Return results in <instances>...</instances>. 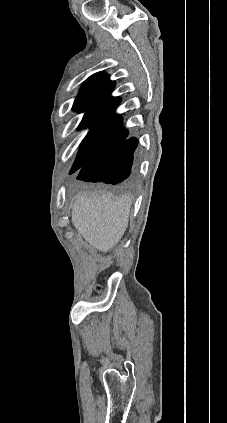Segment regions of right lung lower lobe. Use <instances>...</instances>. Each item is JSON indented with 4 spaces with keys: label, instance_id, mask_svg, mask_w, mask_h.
I'll use <instances>...</instances> for the list:
<instances>
[{
    "label": "right lung lower lobe",
    "instance_id": "98d812e1",
    "mask_svg": "<svg viewBox=\"0 0 227 423\" xmlns=\"http://www.w3.org/2000/svg\"><path fill=\"white\" fill-rule=\"evenodd\" d=\"M113 111L114 108L104 117L107 120L120 121L121 118ZM137 143L135 138H130L96 153L81 167L77 178L86 182L106 184L123 182L130 175Z\"/></svg>",
    "mask_w": 227,
    "mask_h": 423
}]
</instances>
